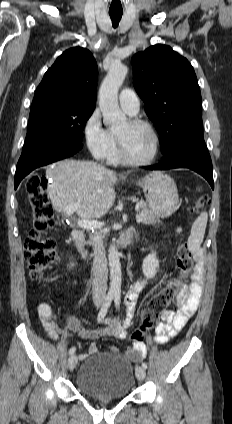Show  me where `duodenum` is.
Wrapping results in <instances>:
<instances>
[{"instance_id": "obj_1", "label": "duodenum", "mask_w": 232, "mask_h": 424, "mask_svg": "<svg viewBox=\"0 0 232 424\" xmlns=\"http://www.w3.org/2000/svg\"><path fill=\"white\" fill-rule=\"evenodd\" d=\"M72 237H73L76 248H77L81 258L84 261H87L89 255H88V251H87L86 246H85V234H84V232L82 230H74L73 233H72ZM134 238H135V235L126 234L125 236H123L120 239L119 245L121 247H127L133 242Z\"/></svg>"}]
</instances>
